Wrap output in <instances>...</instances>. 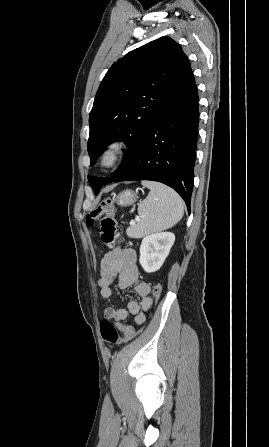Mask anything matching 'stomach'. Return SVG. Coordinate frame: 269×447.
Returning <instances> with one entry per match:
<instances>
[{
	"label": "stomach",
	"mask_w": 269,
	"mask_h": 447,
	"mask_svg": "<svg viewBox=\"0 0 269 447\" xmlns=\"http://www.w3.org/2000/svg\"><path fill=\"white\" fill-rule=\"evenodd\" d=\"M137 198L138 196H136L133 190H124V192H120V194L116 196L114 202H116L118 206H132Z\"/></svg>",
	"instance_id": "stomach-1"
}]
</instances>
